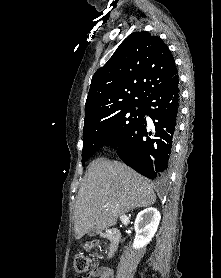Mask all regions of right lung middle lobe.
<instances>
[{"mask_svg": "<svg viewBox=\"0 0 221 278\" xmlns=\"http://www.w3.org/2000/svg\"><path fill=\"white\" fill-rule=\"evenodd\" d=\"M144 116L143 102L131 104L96 120L85 121L82 164L103 145L119 143Z\"/></svg>", "mask_w": 221, "mask_h": 278, "instance_id": "right-lung-middle-lobe-1", "label": "right lung middle lobe"}]
</instances>
